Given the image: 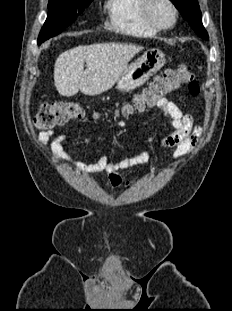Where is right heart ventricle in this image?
I'll return each instance as SVG.
<instances>
[{
	"label": "right heart ventricle",
	"instance_id": "obj_1",
	"mask_svg": "<svg viewBox=\"0 0 232 311\" xmlns=\"http://www.w3.org/2000/svg\"><path fill=\"white\" fill-rule=\"evenodd\" d=\"M142 0H106L104 8L108 24L117 32L135 37H148L157 30L147 25L141 16Z\"/></svg>",
	"mask_w": 232,
	"mask_h": 311
}]
</instances>
